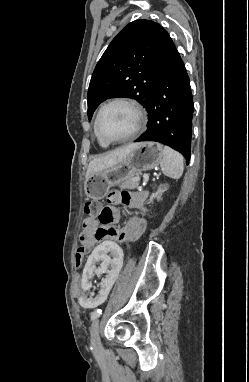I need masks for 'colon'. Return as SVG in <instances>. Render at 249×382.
I'll return each mask as SVG.
<instances>
[{"instance_id":"obj_1","label":"colon","mask_w":249,"mask_h":382,"mask_svg":"<svg viewBox=\"0 0 249 382\" xmlns=\"http://www.w3.org/2000/svg\"><path fill=\"white\" fill-rule=\"evenodd\" d=\"M105 209V207H102L101 203L97 200H91L85 203L84 206V212L86 214L92 215V216H98L101 215V212ZM110 216V215H109ZM83 250L78 249L76 254V265L75 270L81 271L82 270V260H83Z\"/></svg>"}]
</instances>
